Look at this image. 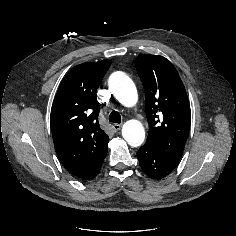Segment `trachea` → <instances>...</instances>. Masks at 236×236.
Here are the masks:
<instances>
[{
	"mask_svg": "<svg viewBox=\"0 0 236 236\" xmlns=\"http://www.w3.org/2000/svg\"><path fill=\"white\" fill-rule=\"evenodd\" d=\"M109 122L121 123V115L117 111H112L109 115Z\"/></svg>",
	"mask_w": 236,
	"mask_h": 236,
	"instance_id": "trachea-1",
	"label": "trachea"
}]
</instances>
